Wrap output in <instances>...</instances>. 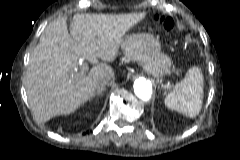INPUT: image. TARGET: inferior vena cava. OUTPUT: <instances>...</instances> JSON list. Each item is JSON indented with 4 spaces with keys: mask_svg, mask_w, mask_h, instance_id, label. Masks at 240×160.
Instances as JSON below:
<instances>
[{
    "mask_svg": "<svg viewBox=\"0 0 240 160\" xmlns=\"http://www.w3.org/2000/svg\"><path fill=\"white\" fill-rule=\"evenodd\" d=\"M110 80H111L110 78H105V79L99 81L98 84H97V88H98V89L104 88L105 85H106Z\"/></svg>",
    "mask_w": 240,
    "mask_h": 160,
    "instance_id": "1",
    "label": "inferior vena cava"
}]
</instances>
